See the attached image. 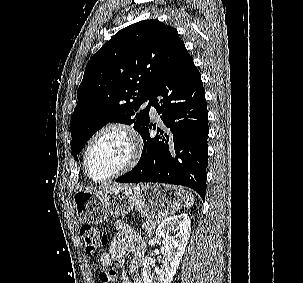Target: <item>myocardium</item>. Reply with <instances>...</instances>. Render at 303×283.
<instances>
[{
  "mask_svg": "<svg viewBox=\"0 0 303 283\" xmlns=\"http://www.w3.org/2000/svg\"><path fill=\"white\" fill-rule=\"evenodd\" d=\"M109 131H120L127 136V138L130 141V144H131L130 158L123 167H121L119 170H117L113 174H111L105 178H102V179H96L90 174L89 169H88L89 152H90V149H91L92 145L94 144V142L101 135H103ZM142 149H143L142 140H141L139 134L137 133V131L132 126H130L126 123H122V122H110V123L104 125L102 128H100L89 140V142L85 148L84 156H83L84 171H85L87 177L90 180H92L93 182L103 183V182L111 181L113 179H116V178L128 173L138 164V162L141 158V155H142Z\"/></svg>",
  "mask_w": 303,
  "mask_h": 283,
  "instance_id": "obj_1",
  "label": "myocardium"
}]
</instances>
